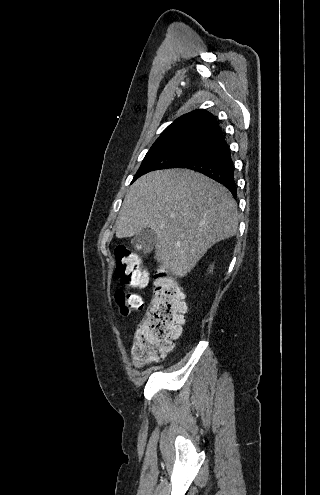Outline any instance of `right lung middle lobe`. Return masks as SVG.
<instances>
[{
	"mask_svg": "<svg viewBox=\"0 0 320 495\" xmlns=\"http://www.w3.org/2000/svg\"><path fill=\"white\" fill-rule=\"evenodd\" d=\"M205 143V140L200 139H184L153 145L147 152L131 183L150 171L180 166Z\"/></svg>",
	"mask_w": 320,
	"mask_h": 495,
	"instance_id": "dd1d6c3e",
	"label": "right lung middle lobe"
}]
</instances>
